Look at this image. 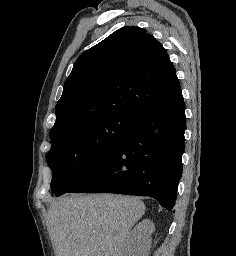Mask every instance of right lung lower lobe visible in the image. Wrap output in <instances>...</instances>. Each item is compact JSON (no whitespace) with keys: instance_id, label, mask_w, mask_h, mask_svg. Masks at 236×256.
Masks as SVG:
<instances>
[{"instance_id":"right-lung-lower-lobe-1","label":"right lung lower lobe","mask_w":236,"mask_h":256,"mask_svg":"<svg viewBox=\"0 0 236 256\" xmlns=\"http://www.w3.org/2000/svg\"><path fill=\"white\" fill-rule=\"evenodd\" d=\"M185 127L180 90L143 114L115 149L67 192L150 196L171 211L182 175Z\"/></svg>"}]
</instances>
